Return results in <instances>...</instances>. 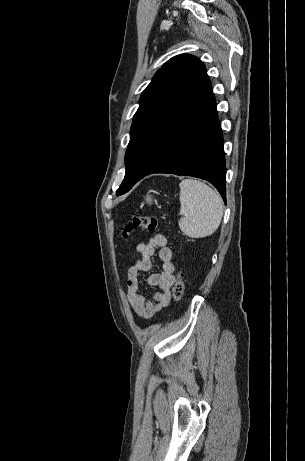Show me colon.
I'll use <instances>...</instances> for the list:
<instances>
[{
    "instance_id": "colon-1",
    "label": "colon",
    "mask_w": 305,
    "mask_h": 461,
    "mask_svg": "<svg viewBox=\"0 0 305 461\" xmlns=\"http://www.w3.org/2000/svg\"><path fill=\"white\" fill-rule=\"evenodd\" d=\"M157 228H158V220L156 218L148 217V216L134 215L126 223L124 230H123V236L125 237L128 236L132 231L136 229H147L150 232H154L156 231ZM184 290H185L184 275L180 272L177 275L174 285L172 287V298L174 300H180L184 295Z\"/></svg>"
}]
</instances>
